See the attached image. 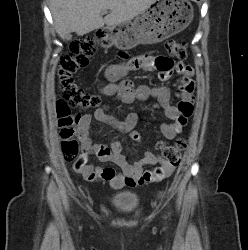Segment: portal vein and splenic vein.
Listing matches in <instances>:
<instances>
[{
  "label": "portal vein and splenic vein",
  "mask_w": 248,
  "mask_h": 250,
  "mask_svg": "<svg viewBox=\"0 0 248 250\" xmlns=\"http://www.w3.org/2000/svg\"><path fill=\"white\" fill-rule=\"evenodd\" d=\"M107 13H108V11H107V10H105V11H103V12H102V14H107Z\"/></svg>",
  "instance_id": "18ae733b"
}]
</instances>
